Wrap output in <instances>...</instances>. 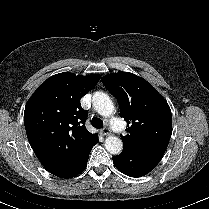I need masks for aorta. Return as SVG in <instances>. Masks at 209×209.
<instances>
[{"label":"aorta","instance_id":"obj_1","mask_svg":"<svg viewBox=\"0 0 209 209\" xmlns=\"http://www.w3.org/2000/svg\"><path fill=\"white\" fill-rule=\"evenodd\" d=\"M92 103L95 110L102 116L109 117L113 114L115 107L110 97L101 91L95 92L92 97ZM106 150L117 155L122 151L123 143L120 138L116 136H108L105 140Z\"/></svg>","mask_w":209,"mask_h":209}]
</instances>
